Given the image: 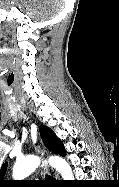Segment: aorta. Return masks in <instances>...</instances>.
Here are the masks:
<instances>
[{"mask_svg":"<svg viewBox=\"0 0 119 187\" xmlns=\"http://www.w3.org/2000/svg\"><path fill=\"white\" fill-rule=\"evenodd\" d=\"M50 164L56 168L64 180H74L72 169L69 164L61 157L50 158ZM40 164V159L36 156H27L17 160L13 167V178L22 180L29 176Z\"/></svg>","mask_w":119,"mask_h":187,"instance_id":"762f6f07","label":"aorta"}]
</instances>
